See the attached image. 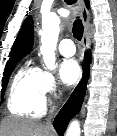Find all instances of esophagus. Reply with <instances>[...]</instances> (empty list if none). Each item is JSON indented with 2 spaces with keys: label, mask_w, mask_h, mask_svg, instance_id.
<instances>
[{
  "label": "esophagus",
  "mask_w": 117,
  "mask_h": 136,
  "mask_svg": "<svg viewBox=\"0 0 117 136\" xmlns=\"http://www.w3.org/2000/svg\"><path fill=\"white\" fill-rule=\"evenodd\" d=\"M81 18L84 24V35L82 39V44L84 48H89L90 38H91V24H90V13L87 9L83 0H78Z\"/></svg>",
  "instance_id": "34e87169"
}]
</instances>
